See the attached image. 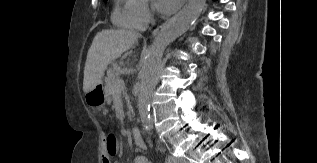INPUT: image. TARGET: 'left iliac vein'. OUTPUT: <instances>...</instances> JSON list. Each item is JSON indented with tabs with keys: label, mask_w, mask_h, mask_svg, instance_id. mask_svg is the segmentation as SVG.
<instances>
[{
	"label": "left iliac vein",
	"mask_w": 317,
	"mask_h": 163,
	"mask_svg": "<svg viewBox=\"0 0 317 163\" xmlns=\"http://www.w3.org/2000/svg\"><path fill=\"white\" fill-rule=\"evenodd\" d=\"M169 163H180L179 161H177L176 159H174V158H171L170 160H169ZM184 163H188L187 161H185Z\"/></svg>",
	"instance_id": "4c4485c4"
}]
</instances>
